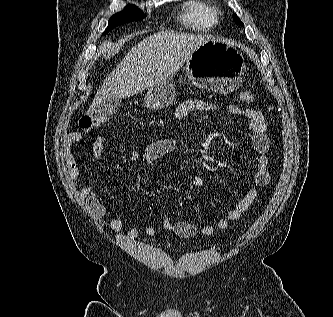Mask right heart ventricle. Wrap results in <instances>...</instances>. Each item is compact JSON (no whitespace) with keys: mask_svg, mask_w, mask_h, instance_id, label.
Masks as SVG:
<instances>
[{"mask_svg":"<svg viewBox=\"0 0 333 317\" xmlns=\"http://www.w3.org/2000/svg\"><path fill=\"white\" fill-rule=\"evenodd\" d=\"M180 18L192 30L209 31L219 20V10L210 2L189 0L184 3Z\"/></svg>","mask_w":333,"mask_h":317,"instance_id":"1","label":"right heart ventricle"}]
</instances>
